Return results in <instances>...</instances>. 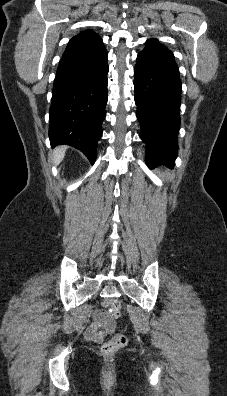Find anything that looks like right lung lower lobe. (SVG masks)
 <instances>
[{
	"mask_svg": "<svg viewBox=\"0 0 227 396\" xmlns=\"http://www.w3.org/2000/svg\"><path fill=\"white\" fill-rule=\"evenodd\" d=\"M107 59L102 40L67 47L58 65L49 110L51 144L73 146L91 163L106 115Z\"/></svg>",
	"mask_w": 227,
	"mask_h": 396,
	"instance_id": "obj_1",
	"label": "right lung lower lobe"
}]
</instances>
